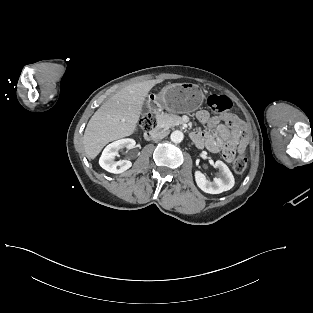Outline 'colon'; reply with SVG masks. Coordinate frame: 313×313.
<instances>
[{
    "label": "colon",
    "instance_id": "obj_1",
    "mask_svg": "<svg viewBox=\"0 0 313 313\" xmlns=\"http://www.w3.org/2000/svg\"><path fill=\"white\" fill-rule=\"evenodd\" d=\"M208 106L216 112L226 113L231 107L232 103L230 99L223 95L212 94L207 98ZM157 124L156 117L153 113H146L139 121V128L143 131H149L155 128ZM223 157L232 162L233 169L236 173L241 174L247 168V159L243 155H237L235 150L230 147H226L223 150Z\"/></svg>",
    "mask_w": 313,
    "mask_h": 313
}]
</instances>
